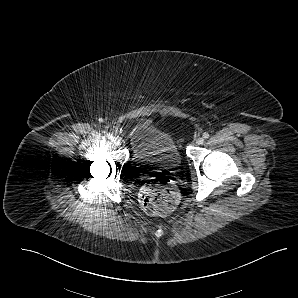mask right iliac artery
Returning a JSON list of instances; mask_svg holds the SVG:
<instances>
[{"instance_id": "1", "label": "right iliac artery", "mask_w": 298, "mask_h": 298, "mask_svg": "<svg viewBox=\"0 0 298 298\" xmlns=\"http://www.w3.org/2000/svg\"><path fill=\"white\" fill-rule=\"evenodd\" d=\"M107 138L112 140L114 137L112 134L109 133V134H107Z\"/></svg>"}]
</instances>
